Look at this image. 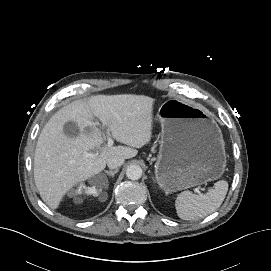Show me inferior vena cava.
<instances>
[{
  "instance_id": "602c4592",
  "label": "inferior vena cava",
  "mask_w": 271,
  "mask_h": 271,
  "mask_svg": "<svg viewBox=\"0 0 271 271\" xmlns=\"http://www.w3.org/2000/svg\"><path fill=\"white\" fill-rule=\"evenodd\" d=\"M123 163H124V158L123 157H113L108 161L107 166L110 169H117Z\"/></svg>"
}]
</instances>
